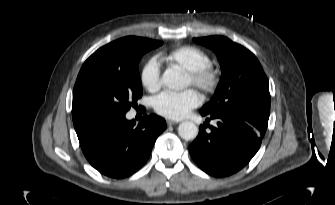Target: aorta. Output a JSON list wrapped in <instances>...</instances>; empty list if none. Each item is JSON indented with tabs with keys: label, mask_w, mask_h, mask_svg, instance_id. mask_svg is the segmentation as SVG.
Here are the masks:
<instances>
[{
	"label": "aorta",
	"mask_w": 335,
	"mask_h": 205,
	"mask_svg": "<svg viewBox=\"0 0 335 205\" xmlns=\"http://www.w3.org/2000/svg\"><path fill=\"white\" fill-rule=\"evenodd\" d=\"M162 82L170 89H183L186 85L185 79L175 67L168 68L162 76ZM178 134L184 140H193L198 135V128L195 123L185 121L179 124Z\"/></svg>",
	"instance_id": "aorta-1"
}]
</instances>
